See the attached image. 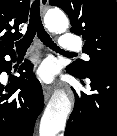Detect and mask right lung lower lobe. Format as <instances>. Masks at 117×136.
Wrapping results in <instances>:
<instances>
[{
    "instance_id": "98d812e1",
    "label": "right lung lower lobe",
    "mask_w": 117,
    "mask_h": 136,
    "mask_svg": "<svg viewBox=\"0 0 117 136\" xmlns=\"http://www.w3.org/2000/svg\"><path fill=\"white\" fill-rule=\"evenodd\" d=\"M12 57L15 53H9ZM12 63L0 57V74L10 73ZM26 60L19 68L20 77H11L8 85L0 83V136H32L36 118L44 106L40 82Z\"/></svg>"
}]
</instances>
